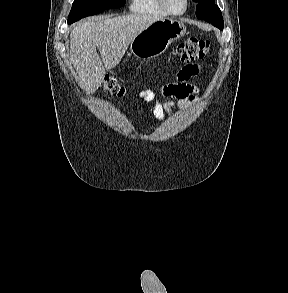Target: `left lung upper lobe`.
I'll return each instance as SVG.
<instances>
[{"label": "left lung upper lobe", "mask_w": 288, "mask_h": 293, "mask_svg": "<svg viewBox=\"0 0 288 293\" xmlns=\"http://www.w3.org/2000/svg\"><path fill=\"white\" fill-rule=\"evenodd\" d=\"M196 6V16L198 19L205 20L215 27L223 30L224 22L222 18L221 11L217 5H215V0H193Z\"/></svg>", "instance_id": "left-lung-upper-lobe-1"}]
</instances>
